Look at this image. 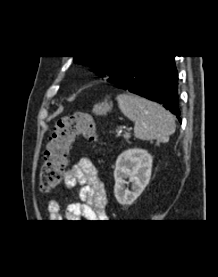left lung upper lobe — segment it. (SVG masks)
I'll return each instance as SVG.
<instances>
[{"mask_svg":"<svg viewBox=\"0 0 218 277\" xmlns=\"http://www.w3.org/2000/svg\"><path fill=\"white\" fill-rule=\"evenodd\" d=\"M135 56H74V63L86 65L99 77L109 78Z\"/></svg>","mask_w":218,"mask_h":277,"instance_id":"obj_1","label":"left lung upper lobe"}]
</instances>
